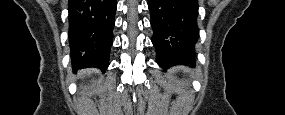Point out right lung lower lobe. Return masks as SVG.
<instances>
[{
    "label": "right lung lower lobe",
    "mask_w": 285,
    "mask_h": 115,
    "mask_svg": "<svg viewBox=\"0 0 285 115\" xmlns=\"http://www.w3.org/2000/svg\"><path fill=\"white\" fill-rule=\"evenodd\" d=\"M116 0H69V44L73 68L109 65Z\"/></svg>",
    "instance_id": "98d812e1"
}]
</instances>
